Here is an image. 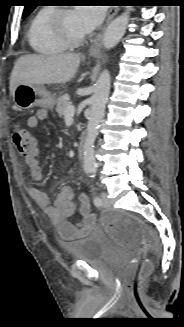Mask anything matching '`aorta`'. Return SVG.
<instances>
[{
  "label": "aorta",
  "instance_id": "762f6f07",
  "mask_svg": "<svg viewBox=\"0 0 184 327\" xmlns=\"http://www.w3.org/2000/svg\"><path fill=\"white\" fill-rule=\"evenodd\" d=\"M130 8L115 18L106 28L102 44L105 49L115 47L126 32L129 22ZM111 86V76L108 70H103L95 84L91 97V112L87 125V136L83 147V168L87 174L94 175L97 170L94 143L98 135L99 125L104 117L105 107Z\"/></svg>",
  "mask_w": 184,
  "mask_h": 327
}]
</instances>
